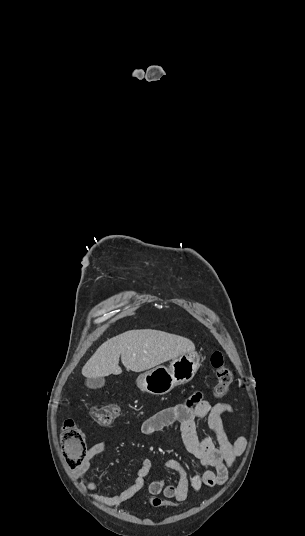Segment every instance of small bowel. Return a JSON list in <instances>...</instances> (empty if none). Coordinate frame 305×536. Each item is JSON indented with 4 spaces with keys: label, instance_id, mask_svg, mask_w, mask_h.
I'll return each mask as SVG.
<instances>
[{
    "label": "small bowel",
    "instance_id": "1",
    "mask_svg": "<svg viewBox=\"0 0 305 536\" xmlns=\"http://www.w3.org/2000/svg\"><path fill=\"white\" fill-rule=\"evenodd\" d=\"M229 411H231L229 404L211 405L209 401L203 399L202 393L196 392L186 402L164 408L142 423L141 431L147 436H151L171 424H180L187 450L205 467L201 474L189 478L179 460H165L164 468L176 472L178 482L176 485H166L162 480L151 482L148 486V493L151 496L159 494L180 495L181 500H187L190 488L198 492L204 486L215 487L222 485L227 480L229 468L235 458L242 454L246 446L244 437H239L234 442L229 440L222 420L223 414ZM201 422H206L213 436L201 437L199 435ZM107 448L105 442L90 446L74 473L81 479L83 488L90 492L91 497L96 502L118 508L142 489L145 478L151 469L152 461L149 458L142 459L135 472L134 481L127 489L102 494V486L92 480L87 473L94 457L106 452Z\"/></svg>",
    "mask_w": 305,
    "mask_h": 536
}]
</instances>
